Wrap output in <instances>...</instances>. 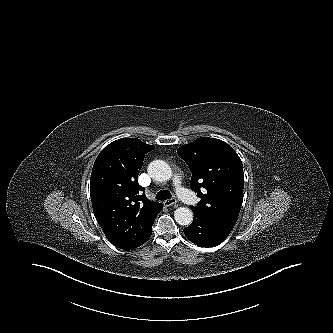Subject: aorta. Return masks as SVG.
<instances>
[{"label":"aorta","mask_w":333,"mask_h":333,"mask_svg":"<svg viewBox=\"0 0 333 333\" xmlns=\"http://www.w3.org/2000/svg\"><path fill=\"white\" fill-rule=\"evenodd\" d=\"M149 175L157 181H167L172 177V169L163 160H154L148 165ZM175 221L182 226H188L193 221V213L189 208L179 207L174 212Z\"/></svg>","instance_id":"1"}]
</instances>
